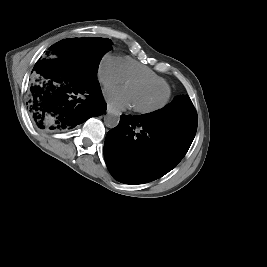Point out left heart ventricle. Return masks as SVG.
Masks as SVG:
<instances>
[{"instance_id": "left-heart-ventricle-1", "label": "left heart ventricle", "mask_w": 267, "mask_h": 267, "mask_svg": "<svg viewBox=\"0 0 267 267\" xmlns=\"http://www.w3.org/2000/svg\"><path fill=\"white\" fill-rule=\"evenodd\" d=\"M131 94L132 105L150 107L160 103L166 96L167 90L149 83L133 82L126 86Z\"/></svg>"}]
</instances>
